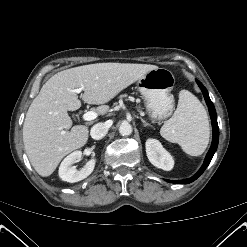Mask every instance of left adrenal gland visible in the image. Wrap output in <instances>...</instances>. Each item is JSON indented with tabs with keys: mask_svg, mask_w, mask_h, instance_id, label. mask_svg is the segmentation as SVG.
Here are the masks:
<instances>
[{
	"mask_svg": "<svg viewBox=\"0 0 247 247\" xmlns=\"http://www.w3.org/2000/svg\"><path fill=\"white\" fill-rule=\"evenodd\" d=\"M141 119V121H142V123H143V125L146 127V126H150V127H152V125L151 124H149L148 122H146L144 119H142V118H140Z\"/></svg>",
	"mask_w": 247,
	"mask_h": 247,
	"instance_id": "obj_1",
	"label": "left adrenal gland"
}]
</instances>
